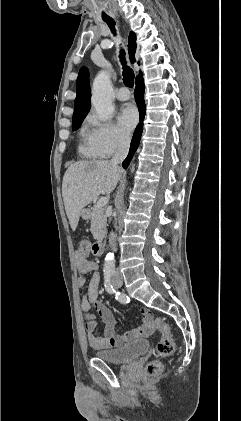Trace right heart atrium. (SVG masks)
Here are the masks:
<instances>
[{"label":"right heart atrium","mask_w":241,"mask_h":421,"mask_svg":"<svg viewBox=\"0 0 241 421\" xmlns=\"http://www.w3.org/2000/svg\"><path fill=\"white\" fill-rule=\"evenodd\" d=\"M86 123L90 130L88 137L95 154L106 158L128 146L129 135L110 121L100 120L94 113L88 114Z\"/></svg>","instance_id":"1"}]
</instances>
